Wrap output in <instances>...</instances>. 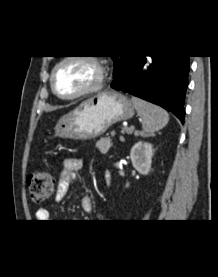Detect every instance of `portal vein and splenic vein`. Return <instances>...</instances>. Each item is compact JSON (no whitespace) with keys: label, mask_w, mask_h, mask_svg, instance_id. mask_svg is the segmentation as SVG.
<instances>
[{"label":"portal vein and splenic vein","mask_w":218,"mask_h":277,"mask_svg":"<svg viewBox=\"0 0 218 277\" xmlns=\"http://www.w3.org/2000/svg\"><path fill=\"white\" fill-rule=\"evenodd\" d=\"M125 131L127 132V133H132L133 131H134V127L133 126H131L130 128H125ZM110 135L112 136V137H114L115 135H116V132L115 131H112L111 133H110Z\"/></svg>","instance_id":"1"}]
</instances>
